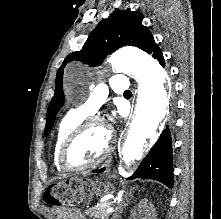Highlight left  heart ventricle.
<instances>
[{"label":"left heart ventricle","instance_id":"1","mask_svg":"<svg viewBox=\"0 0 221 219\" xmlns=\"http://www.w3.org/2000/svg\"><path fill=\"white\" fill-rule=\"evenodd\" d=\"M106 144L105 129L99 125L90 126L80 134L69 149V162L73 165L89 163L102 154Z\"/></svg>","mask_w":221,"mask_h":219}]
</instances>
